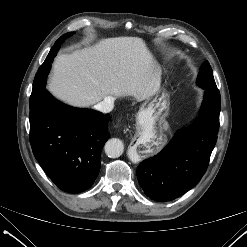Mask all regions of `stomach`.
Wrapping results in <instances>:
<instances>
[{
	"label": "stomach",
	"mask_w": 247,
	"mask_h": 247,
	"mask_svg": "<svg viewBox=\"0 0 247 247\" xmlns=\"http://www.w3.org/2000/svg\"><path fill=\"white\" fill-rule=\"evenodd\" d=\"M169 96L165 89H161L155 95L148 98L138 112V126L143 128L157 123H164L169 113Z\"/></svg>",
	"instance_id": "1"
}]
</instances>
